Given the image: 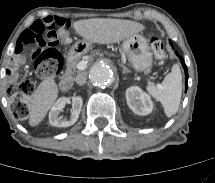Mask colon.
I'll return each instance as SVG.
<instances>
[{"label": "colon", "instance_id": "obj_1", "mask_svg": "<svg viewBox=\"0 0 215 183\" xmlns=\"http://www.w3.org/2000/svg\"><path fill=\"white\" fill-rule=\"evenodd\" d=\"M69 29V22L61 17L35 21L20 37L15 52L17 61L26 63L31 59L35 73L40 77L58 72L61 55L56 47L60 42H70ZM151 49L158 60H165L166 52L159 37L151 38ZM6 74L7 94L12 103L13 113L18 119H26L29 115L28 99L34 91V86L30 81L23 80V69L17 63L8 65Z\"/></svg>", "mask_w": 215, "mask_h": 183}]
</instances>
